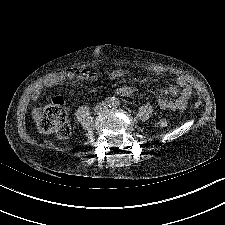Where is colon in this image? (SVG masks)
<instances>
[{
	"label": "colon",
	"mask_w": 225,
	"mask_h": 225,
	"mask_svg": "<svg viewBox=\"0 0 225 225\" xmlns=\"http://www.w3.org/2000/svg\"><path fill=\"white\" fill-rule=\"evenodd\" d=\"M38 129L43 133H53L60 138H67L71 134V127L67 121V113L60 98L54 99L36 115ZM169 124L166 118L158 122L161 128Z\"/></svg>",
	"instance_id": "colon-1"
}]
</instances>
